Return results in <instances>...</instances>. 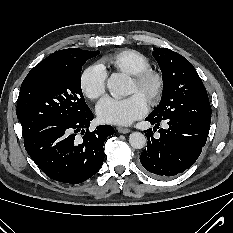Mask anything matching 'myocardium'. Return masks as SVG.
<instances>
[{"instance_id":"obj_1","label":"myocardium","mask_w":233,"mask_h":233,"mask_svg":"<svg viewBox=\"0 0 233 233\" xmlns=\"http://www.w3.org/2000/svg\"><path fill=\"white\" fill-rule=\"evenodd\" d=\"M133 81L139 87L152 85V90L147 98L149 104H155L161 99L165 89V79L161 72L147 68L133 75Z\"/></svg>"}]
</instances>
